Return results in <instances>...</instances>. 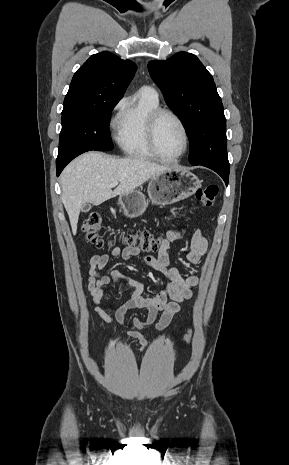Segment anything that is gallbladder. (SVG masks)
Returning a JSON list of instances; mask_svg holds the SVG:
<instances>
[{"mask_svg": "<svg viewBox=\"0 0 289 465\" xmlns=\"http://www.w3.org/2000/svg\"><path fill=\"white\" fill-rule=\"evenodd\" d=\"M91 209V205L89 203H85L83 206H82V212H88L89 210Z\"/></svg>", "mask_w": 289, "mask_h": 465, "instance_id": "1", "label": "gallbladder"}]
</instances>
